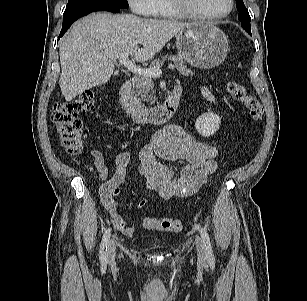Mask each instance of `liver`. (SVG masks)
<instances>
[{
    "label": "liver",
    "mask_w": 307,
    "mask_h": 301,
    "mask_svg": "<svg viewBox=\"0 0 307 301\" xmlns=\"http://www.w3.org/2000/svg\"><path fill=\"white\" fill-rule=\"evenodd\" d=\"M191 25L133 14L96 13L79 19L59 45L63 96L71 101L107 83L114 72L113 60L124 54L138 62L152 59L174 35Z\"/></svg>",
    "instance_id": "liver-1"
}]
</instances>
